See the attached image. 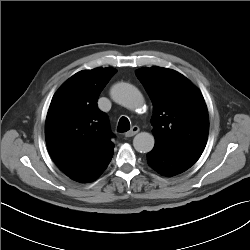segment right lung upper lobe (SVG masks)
Wrapping results in <instances>:
<instances>
[{
	"instance_id": "cb5924a9",
	"label": "right lung upper lobe",
	"mask_w": 250,
	"mask_h": 250,
	"mask_svg": "<svg viewBox=\"0 0 250 250\" xmlns=\"http://www.w3.org/2000/svg\"><path fill=\"white\" fill-rule=\"evenodd\" d=\"M114 68L83 70L55 93L46 118L48 151L58 168L71 179L84 173L114 150L108 117L98 97Z\"/></svg>"
}]
</instances>
